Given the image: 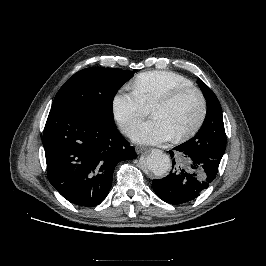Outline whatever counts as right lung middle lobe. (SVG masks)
<instances>
[{"label": "right lung middle lobe", "mask_w": 266, "mask_h": 266, "mask_svg": "<svg viewBox=\"0 0 266 266\" xmlns=\"http://www.w3.org/2000/svg\"><path fill=\"white\" fill-rule=\"evenodd\" d=\"M133 74L117 68L92 67L80 70L60 88L51 110L90 114L114 122L112 99Z\"/></svg>", "instance_id": "obj_1"}]
</instances>
